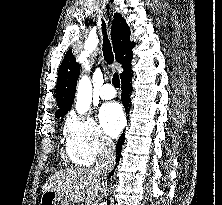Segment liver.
<instances>
[{"mask_svg": "<svg viewBox=\"0 0 222 205\" xmlns=\"http://www.w3.org/2000/svg\"><path fill=\"white\" fill-rule=\"evenodd\" d=\"M102 176L94 169L69 168L52 175L42 188V192L52 191L63 200L92 205L101 190Z\"/></svg>", "mask_w": 222, "mask_h": 205, "instance_id": "1", "label": "liver"}]
</instances>
